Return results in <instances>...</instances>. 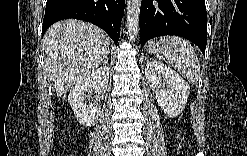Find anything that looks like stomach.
<instances>
[{"mask_svg": "<svg viewBox=\"0 0 247 156\" xmlns=\"http://www.w3.org/2000/svg\"><path fill=\"white\" fill-rule=\"evenodd\" d=\"M161 49V45L159 44V42H155V41H151L148 45V51L151 53H159Z\"/></svg>", "mask_w": 247, "mask_h": 156, "instance_id": "0dacf381", "label": "stomach"}]
</instances>
